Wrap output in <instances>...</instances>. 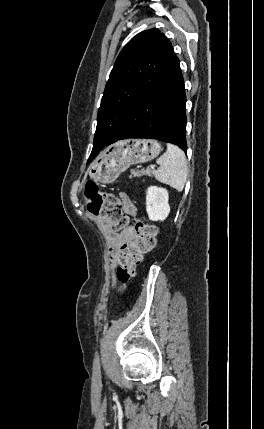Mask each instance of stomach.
Listing matches in <instances>:
<instances>
[{"mask_svg": "<svg viewBox=\"0 0 264 429\" xmlns=\"http://www.w3.org/2000/svg\"><path fill=\"white\" fill-rule=\"evenodd\" d=\"M161 145L153 139H129L108 147L92 163L89 176L102 184L113 183L130 165L156 158Z\"/></svg>", "mask_w": 264, "mask_h": 429, "instance_id": "stomach-1", "label": "stomach"}]
</instances>
